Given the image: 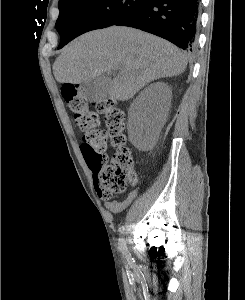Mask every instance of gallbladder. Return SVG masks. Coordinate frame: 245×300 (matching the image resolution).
<instances>
[{
	"mask_svg": "<svg viewBox=\"0 0 245 300\" xmlns=\"http://www.w3.org/2000/svg\"><path fill=\"white\" fill-rule=\"evenodd\" d=\"M112 79L103 74L87 82L82 83L81 91L90 102H98L105 99L110 91Z\"/></svg>",
	"mask_w": 245,
	"mask_h": 300,
	"instance_id": "bac80fb5",
	"label": "gallbladder"
}]
</instances>
